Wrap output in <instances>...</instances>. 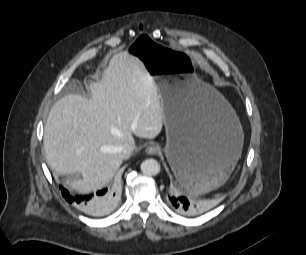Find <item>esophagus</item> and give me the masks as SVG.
Here are the masks:
<instances>
[{
	"label": "esophagus",
	"instance_id": "1",
	"mask_svg": "<svg viewBox=\"0 0 306 255\" xmlns=\"http://www.w3.org/2000/svg\"><path fill=\"white\" fill-rule=\"evenodd\" d=\"M145 152L148 155H155L159 152V147L155 144H150L149 146L146 147Z\"/></svg>",
	"mask_w": 306,
	"mask_h": 255
}]
</instances>
